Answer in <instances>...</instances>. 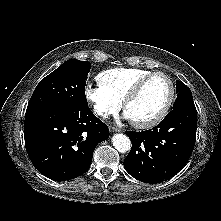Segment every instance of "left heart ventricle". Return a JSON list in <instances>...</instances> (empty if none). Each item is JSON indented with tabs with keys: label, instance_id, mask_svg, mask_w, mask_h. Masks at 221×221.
Listing matches in <instances>:
<instances>
[{
	"label": "left heart ventricle",
	"instance_id": "b2bd125f",
	"mask_svg": "<svg viewBox=\"0 0 221 221\" xmlns=\"http://www.w3.org/2000/svg\"><path fill=\"white\" fill-rule=\"evenodd\" d=\"M169 92V83L164 77L156 76L149 80L140 95L127 107L130 120L146 121L155 117L165 105Z\"/></svg>",
	"mask_w": 221,
	"mask_h": 221
}]
</instances>
